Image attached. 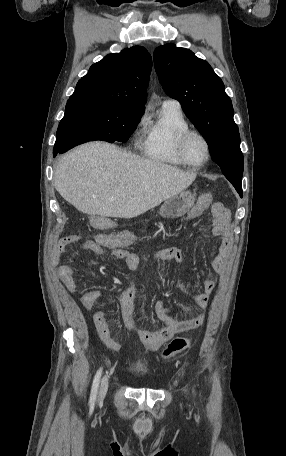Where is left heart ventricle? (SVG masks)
<instances>
[{
  "label": "left heart ventricle",
  "mask_w": 286,
  "mask_h": 456,
  "mask_svg": "<svg viewBox=\"0 0 286 456\" xmlns=\"http://www.w3.org/2000/svg\"><path fill=\"white\" fill-rule=\"evenodd\" d=\"M185 154L193 164H201L206 159V147L198 136H191L185 144Z\"/></svg>",
  "instance_id": "left-heart-ventricle-1"
}]
</instances>
